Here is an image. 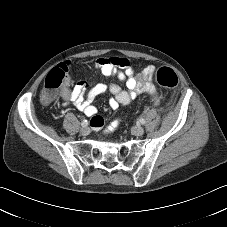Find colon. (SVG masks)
Listing matches in <instances>:
<instances>
[{
    "instance_id": "5ec220e1",
    "label": "colon",
    "mask_w": 227,
    "mask_h": 227,
    "mask_svg": "<svg viewBox=\"0 0 227 227\" xmlns=\"http://www.w3.org/2000/svg\"><path fill=\"white\" fill-rule=\"evenodd\" d=\"M70 78L69 67L60 65L51 70L47 75L42 92L41 98L44 102H51L56 96L57 90L62 84L67 82ZM156 82L164 88H174L178 85V76L174 70L168 67H162L155 73ZM102 120L99 117H94L91 120L93 127H100Z\"/></svg>"
}]
</instances>
